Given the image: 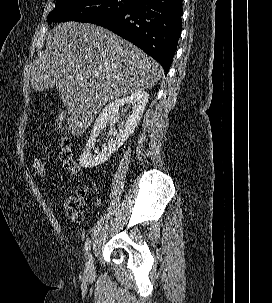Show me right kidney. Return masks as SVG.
Wrapping results in <instances>:
<instances>
[{
    "label": "right kidney",
    "instance_id": "obj_1",
    "mask_svg": "<svg viewBox=\"0 0 272 303\" xmlns=\"http://www.w3.org/2000/svg\"><path fill=\"white\" fill-rule=\"evenodd\" d=\"M148 97L147 92L137 91L129 96L116 99L104 107L92 127L90 139L80 156L79 163L83 168H92L104 163L115 151L119 149L140 121L148 102ZM126 103L132 104L133 111L128 115L126 120L121 122L119 131L117 132L115 124L119 122V108ZM107 123H110V136L112 137H110L107 144L102 145V148L97 155H92L91 148L94 146L97 141V137Z\"/></svg>",
    "mask_w": 272,
    "mask_h": 303
}]
</instances>
